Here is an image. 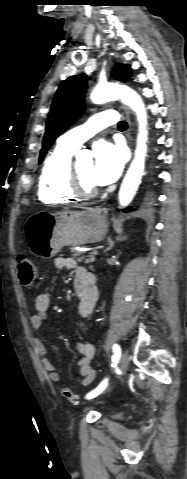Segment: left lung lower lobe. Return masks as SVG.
Here are the masks:
<instances>
[{
    "mask_svg": "<svg viewBox=\"0 0 187 479\" xmlns=\"http://www.w3.org/2000/svg\"><path fill=\"white\" fill-rule=\"evenodd\" d=\"M131 210V207H128L127 209L124 210V212H128Z\"/></svg>",
    "mask_w": 187,
    "mask_h": 479,
    "instance_id": "obj_1",
    "label": "left lung lower lobe"
}]
</instances>
